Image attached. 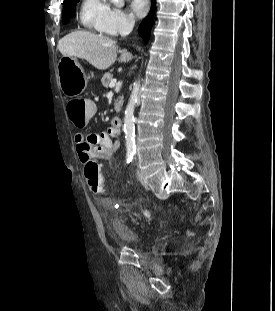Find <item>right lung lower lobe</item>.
<instances>
[{"instance_id":"obj_1","label":"right lung lower lobe","mask_w":275,"mask_h":311,"mask_svg":"<svg viewBox=\"0 0 275 311\" xmlns=\"http://www.w3.org/2000/svg\"><path fill=\"white\" fill-rule=\"evenodd\" d=\"M155 0H153L154 4ZM153 16H154V6L151 8L148 16L142 21L139 26V33L144 38L145 42L148 41L150 37V31L153 24Z\"/></svg>"}]
</instances>
